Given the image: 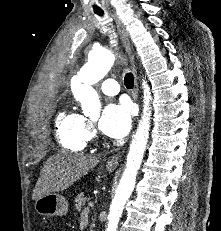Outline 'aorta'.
<instances>
[{"mask_svg":"<svg viewBox=\"0 0 221 231\" xmlns=\"http://www.w3.org/2000/svg\"><path fill=\"white\" fill-rule=\"evenodd\" d=\"M116 59L117 55L110 50L104 48L93 49L89 54L88 62L81 68L77 76L72 78V93L74 98L81 103L85 115L91 116L99 113V97L92 85L99 82L109 72ZM142 87L144 95L142 117L130 144L126 168L110 205L105 231H117L123 209L134 189L136 176L149 139L151 127L150 101L152 97L146 81H143Z\"/></svg>","mask_w":221,"mask_h":231,"instance_id":"obj_1","label":"aorta"}]
</instances>
